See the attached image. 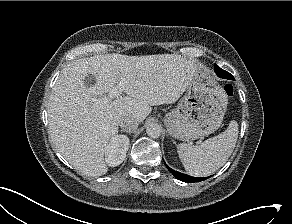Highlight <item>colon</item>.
Returning <instances> with one entry per match:
<instances>
[{
	"instance_id": "obj_1",
	"label": "colon",
	"mask_w": 292,
	"mask_h": 224,
	"mask_svg": "<svg viewBox=\"0 0 292 224\" xmlns=\"http://www.w3.org/2000/svg\"><path fill=\"white\" fill-rule=\"evenodd\" d=\"M224 92L226 93L227 96H232L233 94V87L230 84H225L223 86Z\"/></svg>"
}]
</instances>
